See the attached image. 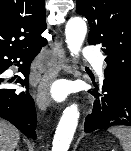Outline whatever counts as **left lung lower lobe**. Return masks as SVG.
I'll return each instance as SVG.
<instances>
[{"mask_svg":"<svg viewBox=\"0 0 131 151\" xmlns=\"http://www.w3.org/2000/svg\"><path fill=\"white\" fill-rule=\"evenodd\" d=\"M89 92L94 96L93 111L84 123L85 132H93L110 126H131V83L105 75L100 88L93 81Z\"/></svg>","mask_w":131,"mask_h":151,"instance_id":"0a47b994","label":"left lung lower lobe"}]
</instances>
